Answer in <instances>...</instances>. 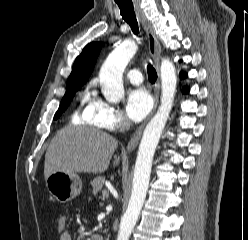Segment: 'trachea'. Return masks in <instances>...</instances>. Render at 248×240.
Returning a JSON list of instances; mask_svg holds the SVG:
<instances>
[{"instance_id": "trachea-1", "label": "trachea", "mask_w": 248, "mask_h": 240, "mask_svg": "<svg viewBox=\"0 0 248 240\" xmlns=\"http://www.w3.org/2000/svg\"><path fill=\"white\" fill-rule=\"evenodd\" d=\"M115 1L118 4L122 18L130 25L133 33L138 36L139 34L138 22L136 19L132 2L131 1L121 2L119 0H115ZM147 72H148L149 81L154 83L157 79V73L154 67L150 63L147 66Z\"/></svg>"}]
</instances>
